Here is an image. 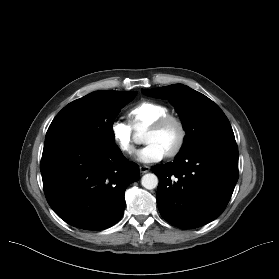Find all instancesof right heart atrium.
I'll list each match as a JSON object with an SVG mask.
<instances>
[{"label": "right heart atrium", "instance_id": "obj_1", "mask_svg": "<svg viewBox=\"0 0 279 279\" xmlns=\"http://www.w3.org/2000/svg\"><path fill=\"white\" fill-rule=\"evenodd\" d=\"M113 141L120 151L130 154L135 149V139L130 125L127 123L116 120L110 127Z\"/></svg>", "mask_w": 279, "mask_h": 279}]
</instances>
